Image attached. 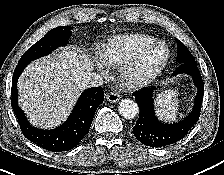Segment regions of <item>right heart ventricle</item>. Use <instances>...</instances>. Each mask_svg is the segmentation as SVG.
<instances>
[{
	"label": "right heart ventricle",
	"mask_w": 224,
	"mask_h": 175,
	"mask_svg": "<svg viewBox=\"0 0 224 175\" xmlns=\"http://www.w3.org/2000/svg\"><path fill=\"white\" fill-rule=\"evenodd\" d=\"M153 41L154 37L139 33L114 36L100 49V59L106 66H120Z\"/></svg>",
	"instance_id": "e07e8e85"
}]
</instances>
